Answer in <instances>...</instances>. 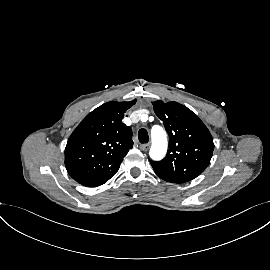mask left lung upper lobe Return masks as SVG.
I'll return each mask as SVG.
<instances>
[{"label":"left lung upper lobe","instance_id":"left-lung-upper-lobe-1","mask_svg":"<svg viewBox=\"0 0 270 270\" xmlns=\"http://www.w3.org/2000/svg\"><path fill=\"white\" fill-rule=\"evenodd\" d=\"M156 115L163 121L169 135V149L161 161H151L155 172L191 181L209 165L213 138L199 119L186 106L177 102L152 103Z\"/></svg>","mask_w":270,"mask_h":270}]
</instances>
